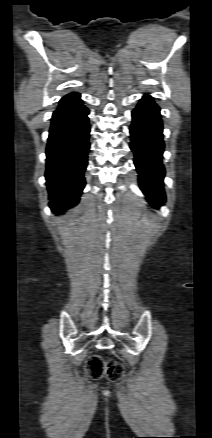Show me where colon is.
I'll return each instance as SVG.
<instances>
[{"label": "colon", "instance_id": "1", "mask_svg": "<svg viewBox=\"0 0 212 438\" xmlns=\"http://www.w3.org/2000/svg\"><path fill=\"white\" fill-rule=\"evenodd\" d=\"M86 371L95 380L104 375L111 380H117L123 375L124 367L117 361L105 360L98 355H93L86 362Z\"/></svg>", "mask_w": 212, "mask_h": 438}]
</instances>
